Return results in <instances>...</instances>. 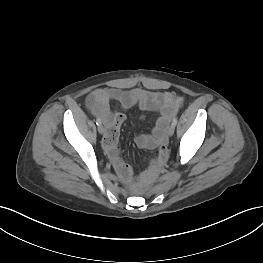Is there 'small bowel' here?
Returning a JSON list of instances; mask_svg holds the SVG:
<instances>
[{"label":"small bowel","mask_w":263,"mask_h":263,"mask_svg":"<svg viewBox=\"0 0 263 263\" xmlns=\"http://www.w3.org/2000/svg\"><path fill=\"white\" fill-rule=\"evenodd\" d=\"M89 101L94 114L106 126L103 138L104 150L110 157L119 176L128 184L133 182V172L121 157L118 146L120 127L126 119L123 111L138 106L142 110L159 114L153 133L151 135H140L136 138V143L140 148H159L158 157L149 169L150 173L155 172L167 157L165 148L167 124L171 117L177 113L182 98L168 92L161 93L140 88L131 90L99 88L92 92ZM92 102L98 103V106L93 105ZM110 102H116L120 110L112 111L109 106Z\"/></svg>","instance_id":"small-bowel-1"}]
</instances>
